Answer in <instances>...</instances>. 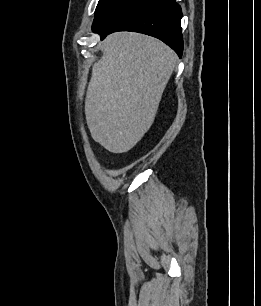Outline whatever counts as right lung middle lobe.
Masks as SVG:
<instances>
[{"label":"right lung middle lobe","mask_w":261,"mask_h":306,"mask_svg":"<svg viewBox=\"0 0 261 306\" xmlns=\"http://www.w3.org/2000/svg\"><path fill=\"white\" fill-rule=\"evenodd\" d=\"M112 0H99L98 5L95 10V18L99 13L111 2Z\"/></svg>","instance_id":"obj_1"}]
</instances>
